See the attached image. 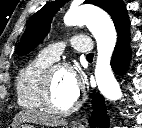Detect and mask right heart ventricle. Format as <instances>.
<instances>
[{
  "instance_id": "1",
  "label": "right heart ventricle",
  "mask_w": 142,
  "mask_h": 128,
  "mask_svg": "<svg viewBox=\"0 0 142 128\" xmlns=\"http://www.w3.org/2000/svg\"><path fill=\"white\" fill-rule=\"evenodd\" d=\"M53 60L41 53L28 62L16 78V95L18 104L29 110H43L42 88L46 70Z\"/></svg>"
}]
</instances>
